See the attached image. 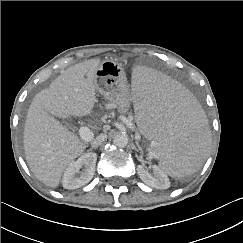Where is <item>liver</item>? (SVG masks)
<instances>
[{
    "label": "liver",
    "instance_id": "1",
    "mask_svg": "<svg viewBox=\"0 0 243 243\" xmlns=\"http://www.w3.org/2000/svg\"><path fill=\"white\" fill-rule=\"evenodd\" d=\"M101 61L76 64L38 93L26 116L24 151L35 177L45 185L58 187L64 170L80 156L86 145L53 116H87L97 102L96 71Z\"/></svg>",
    "mask_w": 243,
    "mask_h": 243
}]
</instances>
